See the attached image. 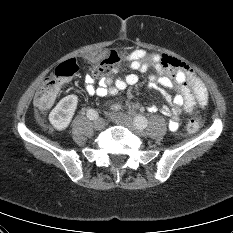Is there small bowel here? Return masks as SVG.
Returning <instances> with one entry per match:
<instances>
[{
  "mask_svg": "<svg viewBox=\"0 0 233 233\" xmlns=\"http://www.w3.org/2000/svg\"><path fill=\"white\" fill-rule=\"evenodd\" d=\"M126 60L135 71L145 72L152 67L155 74L151 76V82L175 91V94L163 92L167 104L160 109L164 115L171 118L169 122L171 130L178 129V118L182 112L194 115L198 107L204 108L207 105L208 93L204 83L185 62L166 54L149 53L143 49L132 51ZM119 68L114 67L112 73H117ZM138 80V76L132 73L117 79L104 76L96 83L95 78L88 75L85 79V93L89 97L116 95L128 86L137 84ZM148 110L156 111L157 107L149 106Z\"/></svg>",
  "mask_w": 233,
  "mask_h": 233,
  "instance_id": "small-bowel-1",
  "label": "small bowel"
}]
</instances>
